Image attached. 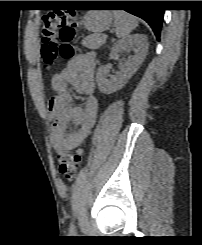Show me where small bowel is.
I'll use <instances>...</instances> for the list:
<instances>
[{
  "label": "small bowel",
  "instance_id": "1",
  "mask_svg": "<svg viewBox=\"0 0 202 245\" xmlns=\"http://www.w3.org/2000/svg\"><path fill=\"white\" fill-rule=\"evenodd\" d=\"M95 72L94 59L78 55L68 60L61 72L52 77L55 96L49 104L53 120L51 145L58 155L79 147L96 122L99 101L95 96ZM69 84L84 96L83 106L75 104L73 96L67 91Z\"/></svg>",
  "mask_w": 202,
  "mask_h": 245
}]
</instances>
